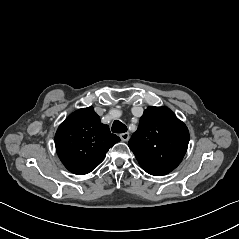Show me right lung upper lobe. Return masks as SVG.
Segmentation results:
<instances>
[{
	"instance_id": "1",
	"label": "right lung upper lobe",
	"mask_w": 239,
	"mask_h": 239,
	"mask_svg": "<svg viewBox=\"0 0 239 239\" xmlns=\"http://www.w3.org/2000/svg\"><path fill=\"white\" fill-rule=\"evenodd\" d=\"M120 138L108 125L100 122L93 107L82 108L59 126L55 135L57 154L72 173L84 175L93 171L104 159L109 148Z\"/></svg>"
}]
</instances>
